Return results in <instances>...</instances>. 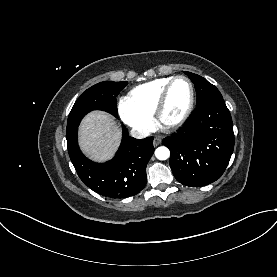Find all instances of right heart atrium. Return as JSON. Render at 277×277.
Wrapping results in <instances>:
<instances>
[{
	"label": "right heart atrium",
	"instance_id": "d8ad5b80",
	"mask_svg": "<svg viewBox=\"0 0 277 277\" xmlns=\"http://www.w3.org/2000/svg\"><path fill=\"white\" fill-rule=\"evenodd\" d=\"M119 114L122 121L139 134L146 133L152 126L151 117L135 110L126 99L119 104Z\"/></svg>",
	"mask_w": 277,
	"mask_h": 277
}]
</instances>
